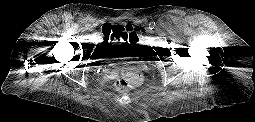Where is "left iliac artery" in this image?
Listing matches in <instances>:
<instances>
[{
  "instance_id": "left-iliac-artery-1",
  "label": "left iliac artery",
  "mask_w": 255,
  "mask_h": 122,
  "mask_svg": "<svg viewBox=\"0 0 255 122\" xmlns=\"http://www.w3.org/2000/svg\"><path fill=\"white\" fill-rule=\"evenodd\" d=\"M155 26H156V23H155V22H151V23L149 24V28H151V29H153Z\"/></svg>"
}]
</instances>
